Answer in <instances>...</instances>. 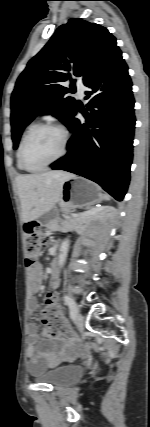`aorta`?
<instances>
[{
    "instance_id": "obj_1",
    "label": "aorta",
    "mask_w": 150,
    "mask_h": 427,
    "mask_svg": "<svg viewBox=\"0 0 150 427\" xmlns=\"http://www.w3.org/2000/svg\"><path fill=\"white\" fill-rule=\"evenodd\" d=\"M69 245H70L69 239H65L61 243L60 253H59V256H58V264H59L60 267L63 266V264H64V262L66 260V257H67V254H68V250H69Z\"/></svg>"
}]
</instances>
